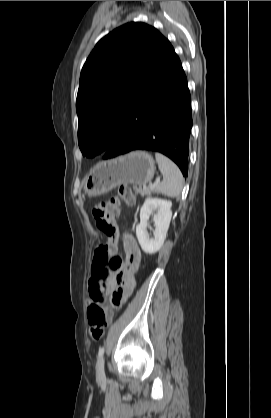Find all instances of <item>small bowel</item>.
I'll return each mask as SVG.
<instances>
[{
    "label": "small bowel",
    "mask_w": 271,
    "mask_h": 418,
    "mask_svg": "<svg viewBox=\"0 0 271 418\" xmlns=\"http://www.w3.org/2000/svg\"><path fill=\"white\" fill-rule=\"evenodd\" d=\"M124 250L126 259L121 270L101 283L104 292L111 295L112 304L116 307L120 306L132 294L135 288L134 273L139 269L141 263L140 249L136 241L129 235L124 239ZM95 286L96 282L92 277L89 282L91 300Z\"/></svg>",
    "instance_id": "c3829d8e"
}]
</instances>
